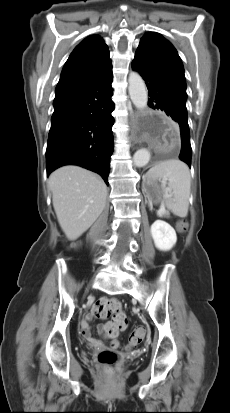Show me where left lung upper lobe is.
<instances>
[{
    "mask_svg": "<svg viewBox=\"0 0 230 413\" xmlns=\"http://www.w3.org/2000/svg\"><path fill=\"white\" fill-rule=\"evenodd\" d=\"M136 54L143 55L159 64L186 89L182 61L173 45L161 34L146 33L140 41Z\"/></svg>",
    "mask_w": 230,
    "mask_h": 413,
    "instance_id": "1",
    "label": "left lung upper lobe"
}]
</instances>
